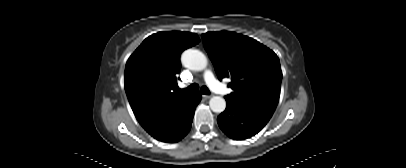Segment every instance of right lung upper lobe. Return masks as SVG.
<instances>
[{
  "instance_id": "obj_1",
  "label": "right lung upper lobe",
  "mask_w": 406,
  "mask_h": 168,
  "mask_svg": "<svg viewBox=\"0 0 406 168\" xmlns=\"http://www.w3.org/2000/svg\"><path fill=\"white\" fill-rule=\"evenodd\" d=\"M200 42L197 34L171 31L146 38L125 67V91L141 126L155 136L193 94L178 90L180 54Z\"/></svg>"
}]
</instances>
